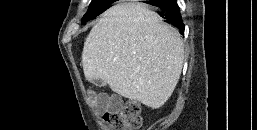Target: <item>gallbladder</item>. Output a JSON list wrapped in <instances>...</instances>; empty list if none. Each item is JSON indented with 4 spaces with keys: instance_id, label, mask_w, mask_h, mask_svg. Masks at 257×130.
I'll return each mask as SVG.
<instances>
[{
    "instance_id": "gallbladder-1",
    "label": "gallbladder",
    "mask_w": 257,
    "mask_h": 130,
    "mask_svg": "<svg viewBox=\"0 0 257 130\" xmlns=\"http://www.w3.org/2000/svg\"><path fill=\"white\" fill-rule=\"evenodd\" d=\"M92 84H94L95 86H97V87H103V86H105V82L102 80V79H100V78H97V79H91V80H89Z\"/></svg>"
}]
</instances>
